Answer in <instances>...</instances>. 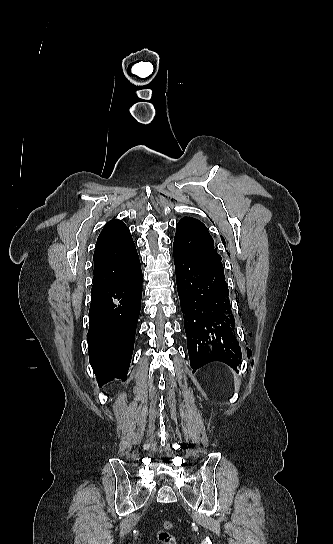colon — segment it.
<instances>
[{"label":"colon","mask_w":333,"mask_h":544,"mask_svg":"<svg viewBox=\"0 0 333 544\" xmlns=\"http://www.w3.org/2000/svg\"><path fill=\"white\" fill-rule=\"evenodd\" d=\"M173 524L170 521L163 522L161 528L157 531V539L161 544H177L175 537L171 533Z\"/></svg>","instance_id":"1"}]
</instances>
